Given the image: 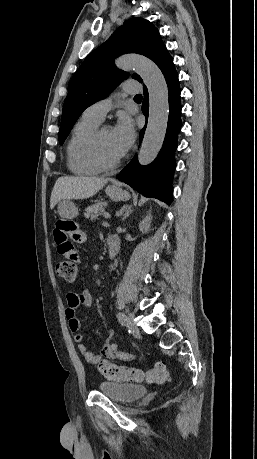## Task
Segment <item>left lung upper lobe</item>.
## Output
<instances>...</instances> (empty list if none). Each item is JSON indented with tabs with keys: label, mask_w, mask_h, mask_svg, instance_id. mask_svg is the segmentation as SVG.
<instances>
[{
	"label": "left lung upper lobe",
	"mask_w": 257,
	"mask_h": 459,
	"mask_svg": "<svg viewBox=\"0 0 257 459\" xmlns=\"http://www.w3.org/2000/svg\"><path fill=\"white\" fill-rule=\"evenodd\" d=\"M125 53L142 54L157 66L169 54L159 31L148 20L132 18L91 52L74 74L65 99L59 142L62 145L82 112L93 103L107 97L128 76L114 66V59ZM132 78L142 82L139 75Z\"/></svg>",
	"instance_id": "obj_1"
}]
</instances>
